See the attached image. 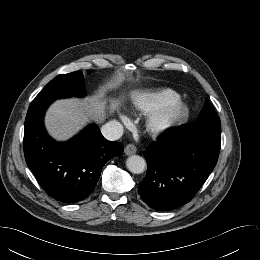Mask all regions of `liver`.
Listing matches in <instances>:
<instances>
[{
    "mask_svg": "<svg viewBox=\"0 0 260 260\" xmlns=\"http://www.w3.org/2000/svg\"><path fill=\"white\" fill-rule=\"evenodd\" d=\"M119 100H107L101 93L85 99H62L55 101L45 116L48 133L58 141H65L77 134L89 122L101 123L106 118V109L112 113L118 110Z\"/></svg>",
    "mask_w": 260,
    "mask_h": 260,
    "instance_id": "1",
    "label": "liver"
}]
</instances>
